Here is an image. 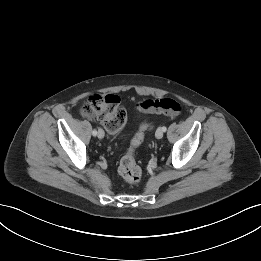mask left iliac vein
Wrapping results in <instances>:
<instances>
[{
    "mask_svg": "<svg viewBox=\"0 0 261 261\" xmlns=\"http://www.w3.org/2000/svg\"><path fill=\"white\" fill-rule=\"evenodd\" d=\"M164 131L162 129V127H159L156 132H155V136L157 139H161L163 137Z\"/></svg>",
    "mask_w": 261,
    "mask_h": 261,
    "instance_id": "4c4485c4",
    "label": "left iliac vein"
}]
</instances>
